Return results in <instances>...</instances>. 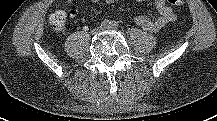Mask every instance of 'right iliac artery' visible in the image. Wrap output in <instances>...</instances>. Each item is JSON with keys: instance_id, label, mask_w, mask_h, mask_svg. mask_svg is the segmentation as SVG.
I'll use <instances>...</instances> for the list:
<instances>
[{"instance_id": "obj_1", "label": "right iliac artery", "mask_w": 217, "mask_h": 121, "mask_svg": "<svg viewBox=\"0 0 217 121\" xmlns=\"http://www.w3.org/2000/svg\"><path fill=\"white\" fill-rule=\"evenodd\" d=\"M109 24H110V22L105 20V21L102 22L101 25H102V27L107 28V27H109Z\"/></svg>"}]
</instances>
